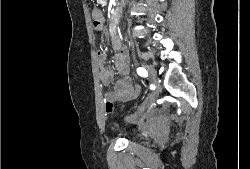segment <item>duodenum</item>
I'll list each match as a JSON object with an SVG mask.
<instances>
[{"mask_svg":"<svg viewBox=\"0 0 250 169\" xmlns=\"http://www.w3.org/2000/svg\"><path fill=\"white\" fill-rule=\"evenodd\" d=\"M111 38H112V40H113L114 43H117V41H116L117 37H116L115 28H113L112 31H111Z\"/></svg>","mask_w":250,"mask_h":169,"instance_id":"410a0bca","label":"duodenum"}]
</instances>
